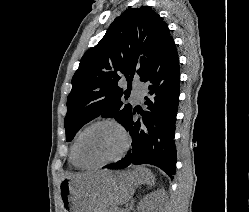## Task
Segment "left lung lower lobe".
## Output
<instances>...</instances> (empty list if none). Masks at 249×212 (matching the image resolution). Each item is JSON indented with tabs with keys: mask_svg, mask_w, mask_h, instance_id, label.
<instances>
[{
	"mask_svg": "<svg viewBox=\"0 0 249 212\" xmlns=\"http://www.w3.org/2000/svg\"><path fill=\"white\" fill-rule=\"evenodd\" d=\"M141 81L147 85L146 110L132 108L122 122L132 137V150L122 160L104 168L151 164L174 178L175 122L180 94L179 59L174 41L162 50ZM136 113L141 115L137 121L134 120Z\"/></svg>",
	"mask_w": 249,
	"mask_h": 212,
	"instance_id": "0a47b994",
	"label": "left lung lower lobe"
}]
</instances>
